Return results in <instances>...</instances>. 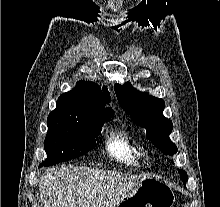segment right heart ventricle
<instances>
[{"label":"right heart ventricle","instance_id":"right-heart-ventricle-1","mask_svg":"<svg viewBox=\"0 0 220 207\" xmlns=\"http://www.w3.org/2000/svg\"><path fill=\"white\" fill-rule=\"evenodd\" d=\"M106 150L112 158L128 166L143 164L144 154L124 131L111 134L106 141Z\"/></svg>","mask_w":220,"mask_h":207}]
</instances>
